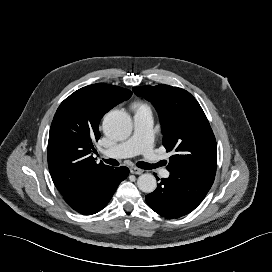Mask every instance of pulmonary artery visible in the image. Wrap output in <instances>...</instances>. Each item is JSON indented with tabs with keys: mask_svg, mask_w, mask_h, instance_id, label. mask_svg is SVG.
<instances>
[{
	"mask_svg": "<svg viewBox=\"0 0 272 272\" xmlns=\"http://www.w3.org/2000/svg\"><path fill=\"white\" fill-rule=\"evenodd\" d=\"M134 131L126 141L103 151L107 157H131L141 153L152 164L158 163L159 158L153 148L154 118L150 109H137L134 113ZM162 176L169 177L167 170Z\"/></svg>",
	"mask_w": 272,
	"mask_h": 272,
	"instance_id": "obj_1",
	"label": "pulmonary artery"
}]
</instances>
